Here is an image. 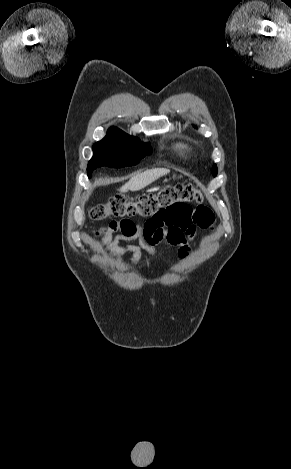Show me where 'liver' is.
Here are the masks:
<instances>
[{
    "instance_id": "obj_1",
    "label": "liver",
    "mask_w": 291,
    "mask_h": 469,
    "mask_svg": "<svg viewBox=\"0 0 291 469\" xmlns=\"http://www.w3.org/2000/svg\"><path fill=\"white\" fill-rule=\"evenodd\" d=\"M170 172L169 169L165 168H155L151 170H147L143 173L137 174L136 176L132 177L125 185L120 188V191L127 192L128 190L131 191H138L147 185L151 184L153 181L157 180L161 176H164Z\"/></svg>"
}]
</instances>
